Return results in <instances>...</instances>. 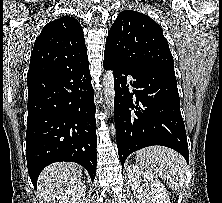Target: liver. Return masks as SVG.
<instances>
[{
  "label": "liver",
  "mask_w": 222,
  "mask_h": 203,
  "mask_svg": "<svg viewBox=\"0 0 222 203\" xmlns=\"http://www.w3.org/2000/svg\"><path fill=\"white\" fill-rule=\"evenodd\" d=\"M82 176L81 167L71 162L49 165L38 178L40 203H57L68 188L77 184Z\"/></svg>",
  "instance_id": "1"
}]
</instances>
